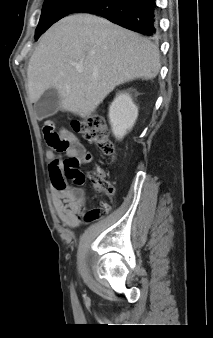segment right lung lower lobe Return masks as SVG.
<instances>
[{"mask_svg":"<svg viewBox=\"0 0 213 338\" xmlns=\"http://www.w3.org/2000/svg\"><path fill=\"white\" fill-rule=\"evenodd\" d=\"M100 15L111 22L149 37L158 35L155 0H92L74 13Z\"/></svg>","mask_w":213,"mask_h":338,"instance_id":"1","label":"right lung lower lobe"}]
</instances>
